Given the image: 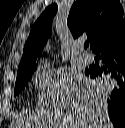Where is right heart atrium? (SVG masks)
Returning a JSON list of instances; mask_svg holds the SVG:
<instances>
[{
  "label": "right heart atrium",
  "mask_w": 125,
  "mask_h": 128,
  "mask_svg": "<svg viewBox=\"0 0 125 128\" xmlns=\"http://www.w3.org/2000/svg\"><path fill=\"white\" fill-rule=\"evenodd\" d=\"M34 81L40 97L46 98L52 92L54 75L51 71L41 70L37 72Z\"/></svg>",
  "instance_id": "d8ad5b80"
}]
</instances>
